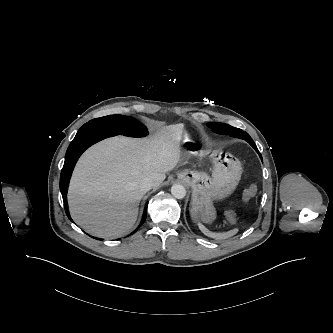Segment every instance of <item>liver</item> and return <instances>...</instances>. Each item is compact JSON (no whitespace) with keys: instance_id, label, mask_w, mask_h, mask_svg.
I'll return each mask as SVG.
<instances>
[{"instance_id":"liver-1","label":"liver","mask_w":333,"mask_h":333,"mask_svg":"<svg viewBox=\"0 0 333 333\" xmlns=\"http://www.w3.org/2000/svg\"><path fill=\"white\" fill-rule=\"evenodd\" d=\"M182 140L183 125L175 124L149 138L117 136L91 147L79 160L70 181L72 219L97 236L126 234L136 222L144 195L139 182L149 178L153 187L159 186L166 172L181 161Z\"/></svg>"}]
</instances>
